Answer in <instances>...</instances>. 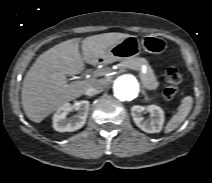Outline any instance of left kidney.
I'll return each mask as SVG.
<instances>
[{"mask_svg":"<svg viewBox=\"0 0 212 183\" xmlns=\"http://www.w3.org/2000/svg\"><path fill=\"white\" fill-rule=\"evenodd\" d=\"M144 111L150 113V120H144L142 116ZM131 115L135 124L144 132L158 133L162 130L164 124V111L157 105H135L131 108Z\"/></svg>","mask_w":212,"mask_h":183,"instance_id":"5707ae66","label":"left kidney"}]
</instances>
